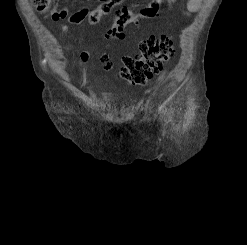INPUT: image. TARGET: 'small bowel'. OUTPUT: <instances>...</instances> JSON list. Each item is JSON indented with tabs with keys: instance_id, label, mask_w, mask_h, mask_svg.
<instances>
[{
	"instance_id": "c3829d8e",
	"label": "small bowel",
	"mask_w": 247,
	"mask_h": 245,
	"mask_svg": "<svg viewBox=\"0 0 247 245\" xmlns=\"http://www.w3.org/2000/svg\"><path fill=\"white\" fill-rule=\"evenodd\" d=\"M162 2H166L170 8L177 0H151L148 5L140 10H130L128 8H121L116 12V17L111 30L116 31V37L119 39L124 38V27L126 24L135 21L138 18H153L158 14L160 5ZM203 0H187L186 10L184 14L189 16L192 13L199 11L202 7ZM90 11L88 8H83L75 13L70 14L68 9H58V0H54V7L52 9V18L55 21L68 20L71 24H81ZM60 28L63 32L68 31V27L65 24H60ZM90 57L89 51H83L80 54L79 61L81 63L86 62Z\"/></svg>"
}]
</instances>
